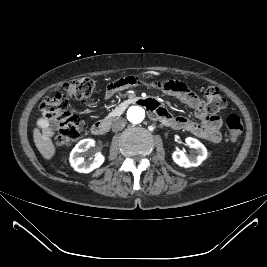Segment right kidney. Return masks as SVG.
Here are the masks:
<instances>
[{
	"label": "right kidney",
	"mask_w": 267,
	"mask_h": 267,
	"mask_svg": "<svg viewBox=\"0 0 267 267\" xmlns=\"http://www.w3.org/2000/svg\"><path fill=\"white\" fill-rule=\"evenodd\" d=\"M94 144L95 142L92 139H83L73 148L69 161L75 171L89 173L103 164L105 157L101 153L95 154L88 161L84 160L82 153L91 146H94Z\"/></svg>",
	"instance_id": "ca27d5eb"
}]
</instances>
